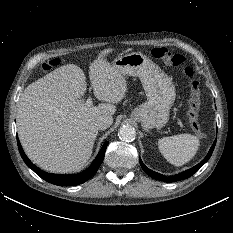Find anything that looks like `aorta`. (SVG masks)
I'll return each mask as SVG.
<instances>
[{
  "mask_svg": "<svg viewBox=\"0 0 233 233\" xmlns=\"http://www.w3.org/2000/svg\"><path fill=\"white\" fill-rule=\"evenodd\" d=\"M119 138L123 141L130 142L136 137V131L131 125H123L118 132Z\"/></svg>",
  "mask_w": 233,
  "mask_h": 233,
  "instance_id": "aorta-1",
  "label": "aorta"
}]
</instances>
